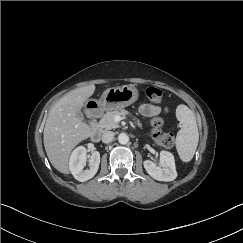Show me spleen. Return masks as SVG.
Listing matches in <instances>:
<instances>
[{
  "mask_svg": "<svg viewBox=\"0 0 243 243\" xmlns=\"http://www.w3.org/2000/svg\"><path fill=\"white\" fill-rule=\"evenodd\" d=\"M176 117L182 124L176 136V149L183 162L193 158L199 141L198 127L193 112L183 104L176 108Z\"/></svg>",
  "mask_w": 243,
  "mask_h": 243,
  "instance_id": "spleen-1",
  "label": "spleen"
}]
</instances>
